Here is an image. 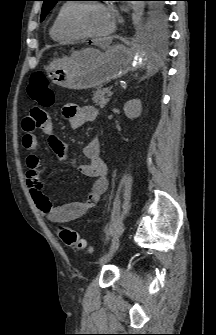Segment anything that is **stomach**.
<instances>
[{
  "label": "stomach",
  "instance_id": "obj_1",
  "mask_svg": "<svg viewBox=\"0 0 216 335\" xmlns=\"http://www.w3.org/2000/svg\"><path fill=\"white\" fill-rule=\"evenodd\" d=\"M147 56L136 47L114 44L102 52L93 48L53 61L47 75L58 86L82 90L101 88L111 80L143 67Z\"/></svg>",
  "mask_w": 216,
  "mask_h": 335
}]
</instances>
